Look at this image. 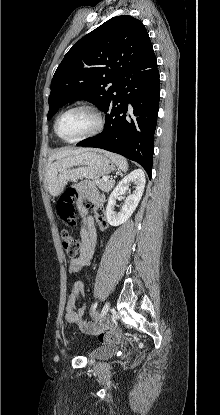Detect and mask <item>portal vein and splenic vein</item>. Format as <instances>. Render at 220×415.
I'll return each instance as SVG.
<instances>
[{"instance_id":"18ae733b","label":"portal vein and splenic vein","mask_w":220,"mask_h":415,"mask_svg":"<svg viewBox=\"0 0 220 415\" xmlns=\"http://www.w3.org/2000/svg\"><path fill=\"white\" fill-rule=\"evenodd\" d=\"M103 180L104 181H108L109 180V177H103Z\"/></svg>"}]
</instances>
